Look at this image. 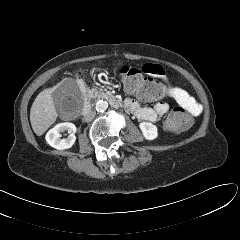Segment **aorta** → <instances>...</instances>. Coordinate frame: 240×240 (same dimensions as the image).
Here are the masks:
<instances>
[{"label": "aorta", "mask_w": 240, "mask_h": 240, "mask_svg": "<svg viewBox=\"0 0 240 240\" xmlns=\"http://www.w3.org/2000/svg\"><path fill=\"white\" fill-rule=\"evenodd\" d=\"M107 108H108V102L104 100H99L95 105V109L97 112H104L107 110Z\"/></svg>", "instance_id": "obj_1"}]
</instances>
